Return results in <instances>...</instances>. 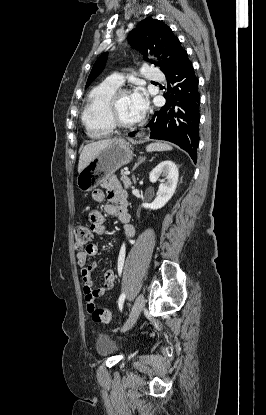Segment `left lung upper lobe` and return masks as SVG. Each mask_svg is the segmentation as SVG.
<instances>
[{
  "label": "left lung upper lobe",
  "mask_w": 266,
  "mask_h": 415,
  "mask_svg": "<svg viewBox=\"0 0 266 415\" xmlns=\"http://www.w3.org/2000/svg\"><path fill=\"white\" fill-rule=\"evenodd\" d=\"M129 43L136 50L143 51L146 59L147 51L161 58L160 69L169 74L177 66L186 50L181 47L179 39L173 34L172 30L163 22L147 17L137 24L129 34ZM107 60V53H103L93 65L88 77L85 89L102 72Z\"/></svg>",
  "instance_id": "left-lung-upper-lobe-1"
}]
</instances>
